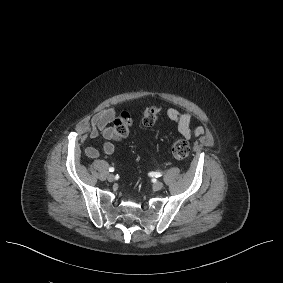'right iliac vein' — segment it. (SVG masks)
Listing matches in <instances>:
<instances>
[{
  "label": "right iliac vein",
  "instance_id": "right-iliac-vein-1",
  "mask_svg": "<svg viewBox=\"0 0 283 283\" xmlns=\"http://www.w3.org/2000/svg\"><path fill=\"white\" fill-rule=\"evenodd\" d=\"M107 179H108V181L112 182V181H114L115 177H114L113 174H108Z\"/></svg>",
  "mask_w": 283,
  "mask_h": 283
}]
</instances>
